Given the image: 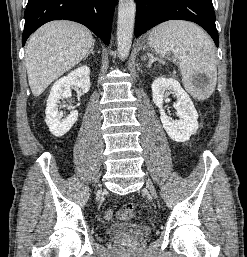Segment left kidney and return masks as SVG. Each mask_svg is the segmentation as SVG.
I'll return each instance as SVG.
<instances>
[{"label": "left kidney", "mask_w": 247, "mask_h": 257, "mask_svg": "<svg viewBox=\"0 0 247 257\" xmlns=\"http://www.w3.org/2000/svg\"><path fill=\"white\" fill-rule=\"evenodd\" d=\"M153 102L159 108L160 118L168 136L176 142H185L198 130V113L189 95L173 78H157L152 83ZM168 92L175 94L179 119L174 120L167 116L163 109V100Z\"/></svg>", "instance_id": "5707ae66"}]
</instances>
